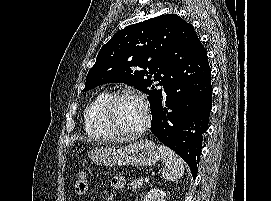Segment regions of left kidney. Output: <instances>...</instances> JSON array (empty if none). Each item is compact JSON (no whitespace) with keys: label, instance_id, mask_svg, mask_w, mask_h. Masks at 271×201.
Wrapping results in <instances>:
<instances>
[{"label":"left kidney","instance_id":"left-kidney-1","mask_svg":"<svg viewBox=\"0 0 271 201\" xmlns=\"http://www.w3.org/2000/svg\"><path fill=\"white\" fill-rule=\"evenodd\" d=\"M165 196V192L154 188L145 195L143 201H166Z\"/></svg>","mask_w":271,"mask_h":201}]
</instances>
